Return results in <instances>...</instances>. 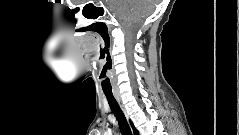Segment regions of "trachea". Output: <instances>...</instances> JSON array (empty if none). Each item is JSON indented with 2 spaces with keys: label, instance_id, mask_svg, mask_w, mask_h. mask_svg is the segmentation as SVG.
Here are the masks:
<instances>
[{
  "label": "trachea",
  "instance_id": "trachea-1",
  "mask_svg": "<svg viewBox=\"0 0 239 135\" xmlns=\"http://www.w3.org/2000/svg\"><path fill=\"white\" fill-rule=\"evenodd\" d=\"M108 104L115 115L122 135H132L131 129L113 93H105Z\"/></svg>",
  "mask_w": 239,
  "mask_h": 135
}]
</instances>
